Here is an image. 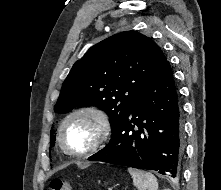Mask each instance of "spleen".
Returning a JSON list of instances; mask_svg holds the SVG:
<instances>
[{
    "label": "spleen",
    "mask_w": 221,
    "mask_h": 190,
    "mask_svg": "<svg viewBox=\"0 0 221 190\" xmlns=\"http://www.w3.org/2000/svg\"><path fill=\"white\" fill-rule=\"evenodd\" d=\"M128 172L138 190H158L157 179L152 173L133 168H128Z\"/></svg>",
    "instance_id": "spleen-1"
}]
</instances>
